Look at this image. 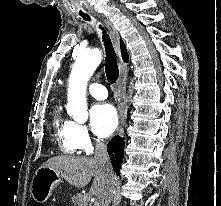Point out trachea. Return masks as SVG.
I'll return each mask as SVG.
<instances>
[{"label":"trachea","instance_id":"obj_1","mask_svg":"<svg viewBox=\"0 0 221 206\" xmlns=\"http://www.w3.org/2000/svg\"><path fill=\"white\" fill-rule=\"evenodd\" d=\"M83 19L90 21L89 16H83ZM99 28L102 30V41H103L104 47H105L106 77H107V80L111 84H114L118 80V77H119V69H118V65H117L116 54H115L114 47L112 45L109 35L107 34L105 29L101 25H99Z\"/></svg>","mask_w":221,"mask_h":206}]
</instances>
